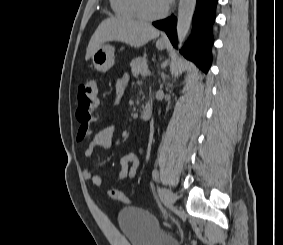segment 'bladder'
Segmentation results:
<instances>
[{"label": "bladder", "mask_w": 283, "mask_h": 245, "mask_svg": "<svg viewBox=\"0 0 283 245\" xmlns=\"http://www.w3.org/2000/svg\"><path fill=\"white\" fill-rule=\"evenodd\" d=\"M118 226L130 245H180L160 226L156 217L139 207H125L117 215Z\"/></svg>", "instance_id": "1"}]
</instances>
